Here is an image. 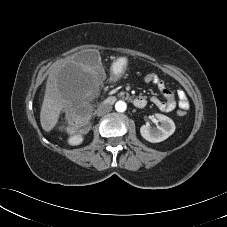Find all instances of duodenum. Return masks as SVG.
<instances>
[{
    "mask_svg": "<svg viewBox=\"0 0 227 227\" xmlns=\"http://www.w3.org/2000/svg\"><path fill=\"white\" fill-rule=\"evenodd\" d=\"M129 99L133 103V105L137 108H144L147 104L146 99L140 96L129 97ZM114 101H115L114 98H110L106 100L104 103L110 105V104H113Z\"/></svg>",
    "mask_w": 227,
    "mask_h": 227,
    "instance_id": "1",
    "label": "duodenum"
}]
</instances>
